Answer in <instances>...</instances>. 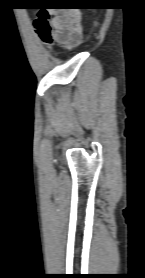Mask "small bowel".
I'll return each mask as SVG.
<instances>
[{"label":"small bowel","instance_id":"1","mask_svg":"<svg viewBox=\"0 0 145 278\" xmlns=\"http://www.w3.org/2000/svg\"><path fill=\"white\" fill-rule=\"evenodd\" d=\"M53 40L65 48L77 46L83 37V29L79 14L58 9L53 14Z\"/></svg>","mask_w":145,"mask_h":278}]
</instances>
